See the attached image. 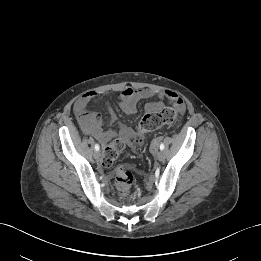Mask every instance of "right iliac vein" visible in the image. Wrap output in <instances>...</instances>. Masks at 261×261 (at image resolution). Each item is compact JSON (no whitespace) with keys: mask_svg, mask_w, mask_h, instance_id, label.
Here are the masks:
<instances>
[{"mask_svg":"<svg viewBox=\"0 0 261 261\" xmlns=\"http://www.w3.org/2000/svg\"><path fill=\"white\" fill-rule=\"evenodd\" d=\"M100 156H101V153H100L99 151H95V152H94V158H95V159L98 160V159L100 158Z\"/></svg>","mask_w":261,"mask_h":261,"instance_id":"63e3f726","label":"right iliac vein"}]
</instances>
